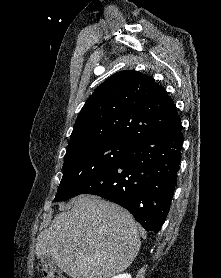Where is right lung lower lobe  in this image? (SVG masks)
<instances>
[{
	"mask_svg": "<svg viewBox=\"0 0 221 278\" xmlns=\"http://www.w3.org/2000/svg\"><path fill=\"white\" fill-rule=\"evenodd\" d=\"M182 126L133 140L125 154L80 187L74 196L93 194L129 210L147 231L165 222L177 183Z\"/></svg>",
	"mask_w": 221,
	"mask_h": 278,
	"instance_id": "98d812e1",
	"label": "right lung lower lobe"
}]
</instances>
